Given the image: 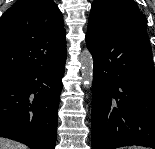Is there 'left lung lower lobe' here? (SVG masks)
Instances as JSON below:
<instances>
[{"label": "left lung lower lobe", "instance_id": "0a47b994", "mask_svg": "<svg viewBox=\"0 0 155 149\" xmlns=\"http://www.w3.org/2000/svg\"><path fill=\"white\" fill-rule=\"evenodd\" d=\"M94 61L92 149H155V71L146 28L87 32Z\"/></svg>", "mask_w": 155, "mask_h": 149}]
</instances>
